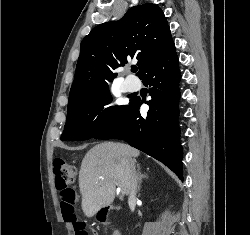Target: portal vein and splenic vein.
<instances>
[{
	"label": "portal vein and splenic vein",
	"mask_w": 250,
	"mask_h": 235,
	"mask_svg": "<svg viewBox=\"0 0 250 235\" xmlns=\"http://www.w3.org/2000/svg\"><path fill=\"white\" fill-rule=\"evenodd\" d=\"M121 192H122V194H125V191H123L122 189H121Z\"/></svg>",
	"instance_id": "1"
}]
</instances>
